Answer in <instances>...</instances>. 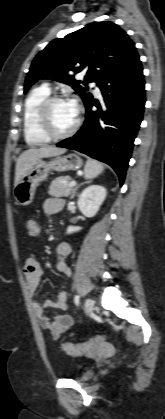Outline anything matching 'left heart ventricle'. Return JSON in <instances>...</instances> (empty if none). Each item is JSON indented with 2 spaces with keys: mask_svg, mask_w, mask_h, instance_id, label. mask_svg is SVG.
<instances>
[{
  "mask_svg": "<svg viewBox=\"0 0 165 419\" xmlns=\"http://www.w3.org/2000/svg\"><path fill=\"white\" fill-rule=\"evenodd\" d=\"M50 119L53 130L63 133L74 125L77 114L69 101L57 102L50 110Z\"/></svg>",
  "mask_w": 165,
  "mask_h": 419,
  "instance_id": "left-heart-ventricle-1",
  "label": "left heart ventricle"
}]
</instances>
